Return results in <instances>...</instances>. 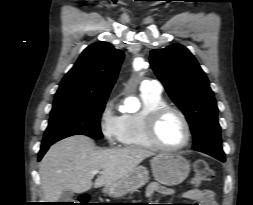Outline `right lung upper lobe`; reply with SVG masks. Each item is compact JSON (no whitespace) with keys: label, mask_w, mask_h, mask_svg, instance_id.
<instances>
[{"label":"right lung upper lobe","mask_w":253,"mask_h":205,"mask_svg":"<svg viewBox=\"0 0 253 205\" xmlns=\"http://www.w3.org/2000/svg\"><path fill=\"white\" fill-rule=\"evenodd\" d=\"M124 58L107 42L88 46L60 83L54 101L107 99Z\"/></svg>","instance_id":"right-lung-upper-lobe-1"}]
</instances>
